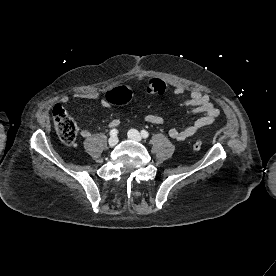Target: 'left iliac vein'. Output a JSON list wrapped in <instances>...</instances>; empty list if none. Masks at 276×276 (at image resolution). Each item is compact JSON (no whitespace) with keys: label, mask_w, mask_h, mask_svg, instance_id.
Instances as JSON below:
<instances>
[{"label":"left iliac vein","mask_w":276,"mask_h":276,"mask_svg":"<svg viewBox=\"0 0 276 276\" xmlns=\"http://www.w3.org/2000/svg\"><path fill=\"white\" fill-rule=\"evenodd\" d=\"M128 137L134 141H137V142H141L142 141V137L140 135V133L135 130V129H130L128 131Z\"/></svg>","instance_id":"obj_1"}]
</instances>
